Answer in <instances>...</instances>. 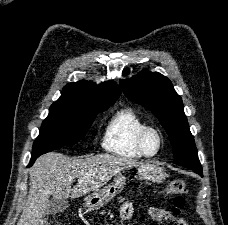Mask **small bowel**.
I'll use <instances>...</instances> for the list:
<instances>
[{
    "label": "small bowel",
    "instance_id": "small-bowel-1",
    "mask_svg": "<svg viewBox=\"0 0 228 225\" xmlns=\"http://www.w3.org/2000/svg\"><path fill=\"white\" fill-rule=\"evenodd\" d=\"M134 214V208L133 205L130 202H125L122 205L121 208V216L124 219H130L132 218ZM148 216L152 218L155 221L159 222H172L174 225H180L178 223L183 222L182 225H187L184 221L173 217L170 213H168L166 210L157 208V207H150L148 209Z\"/></svg>",
    "mask_w": 228,
    "mask_h": 225
}]
</instances>
